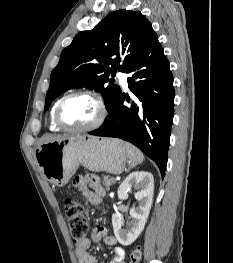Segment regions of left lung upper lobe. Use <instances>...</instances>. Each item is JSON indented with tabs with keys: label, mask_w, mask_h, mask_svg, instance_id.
<instances>
[{
	"label": "left lung upper lobe",
	"mask_w": 233,
	"mask_h": 263,
	"mask_svg": "<svg viewBox=\"0 0 233 263\" xmlns=\"http://www.w3.org/2000/svg\"><path fill=\"white\" fill-rule=\"evenodd\" d=\"M156 37L151 23L139 11L130 10L113 12L92 30L80 32L51 73L45 110L66 90L88 87L101 92L109 113L121 95L109 76L117 70L126 72Z\"/></svg>",
	"instance_id": "left-lung-upper-lobe-1"
}]
</instances>
